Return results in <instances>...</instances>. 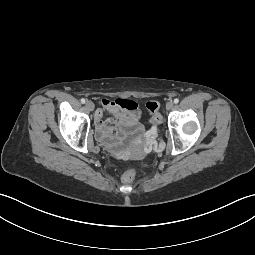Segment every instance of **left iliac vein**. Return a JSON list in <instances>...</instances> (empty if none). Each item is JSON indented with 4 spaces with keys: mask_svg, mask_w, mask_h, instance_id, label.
I'll use <instances>...</instances> for the list:
<instances>
[{
    "mask_svg": "<svg viewBox=\"0 0 255 255\" xmlns=\"http://www.w3.org/2000/svg\"><path fill=\"white\" fill-rule=\"evenodd\" d=\"M174 107V103L172 101L167 102L166 109L171 110Z\"/></svg>",
    "mask_w": 255,
    "mask_h": 255,
    "instance_id": "left-iliac-vein-1",
    "label": "left iliac vein"
}]
</instances>
